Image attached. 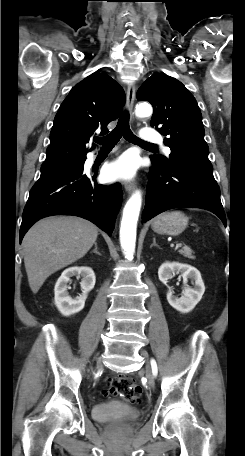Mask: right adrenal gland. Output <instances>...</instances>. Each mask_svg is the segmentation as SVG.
I'll return each mask as SVG.
<instances>
[{"mask_svg":"<svg viewBox=\"0 0 245 456\" xmlns=\"http://www.w3.org/2000/svg\"><path fill=\"white\" fill-rule=\"evenodd\" d=\"M95 248L94 250L92 251L93 253H96L98 255H101V253L98 252V246H97V243L94 244Z\"/></svg>","mask_w":245,"mask_h":456,"instance_id":"obj_1","label":"right adrenal gland"}]
</instances>
